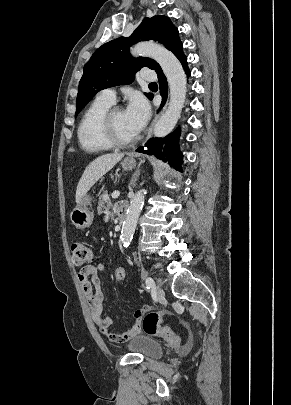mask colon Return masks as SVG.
<instances>
[{
  "instance_id": "obj_1",
  "label": "colon",
  "mask_w": 291,
  "mask_h": 405,
  "mask_svg": "<svg viewBox=\"0 0 291 405\" xmlns=\"http://www.w3.org/2000/svg\"><path fill=\"white\" fill-rule=\"evenodd\" d=\"M72 263L75 267H85L94 260V249L84 241H75L71 245ZM114 280L122 283L125 280V270L117 267L113 272ZM168 312L152 311L144 315L141 328L151 336L160 337L172 346L180 345V338L169 327L161 326L162 318Z\"/></svg>"
}]
</instances>
